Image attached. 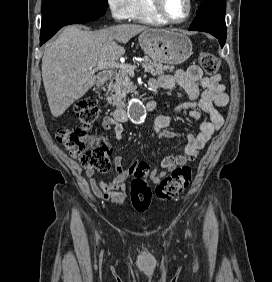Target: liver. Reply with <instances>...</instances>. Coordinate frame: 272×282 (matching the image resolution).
<instances>
[{
    "mask_svg": "<svg viewBox=\"0 0 272 282\" xmlns=\"http://www.w3.org/2000/svg\"><path fill=\"white\" fill-rule=\"evenodd\" d=\"M138 24H120L97 31L79 26L65 27L59 36L44 47L42 79L50 111L60 117L96 82V65L100 60L117 61L125 54L118 43L148 30Z\"/></svg>",
    "mask_w": 272,
    "mask_h": 282,
    "instance_id": "6515ba94",
    "label": "liver"
}]
</instances>
